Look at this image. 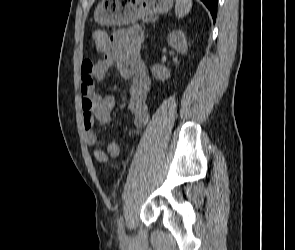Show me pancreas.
Listing matches in <instances>:
<instances>
[{
	"mask_svg": "<svg viewBox=\"0 0 295 250\" xmlns=\"http://www.w3.org/2000/svg\"><path fill=\"white\" fill-rule=\"evenodd\" d=\"M148 21H154V20H153V18H151V17H146V18L144 19V22H148Z\"/></svg>",
	"mask_w": 295,
	"mask_h": 250,
	"instance_id": "1",
	"label": "pancreas"
}]
</instances>
